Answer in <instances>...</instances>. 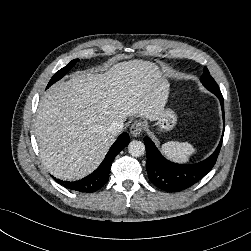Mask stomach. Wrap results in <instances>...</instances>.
<instances>
[{
    "label": "stomach",
    "mask_w": 251,
    "mask_h": 251,
    "mask_svg": "<svg viewBox=\"0 0 251 251\" xmlns=\"http://www.w3.org/2000/svg\"><path fill=\"white\" fill-rule=\"evenodd\" d=\"M177 124V116L171 108L164 109L156 120V125L161 130L170 131Z\"/></svg>",
    "instance_id": "1"
}]
</instances>
